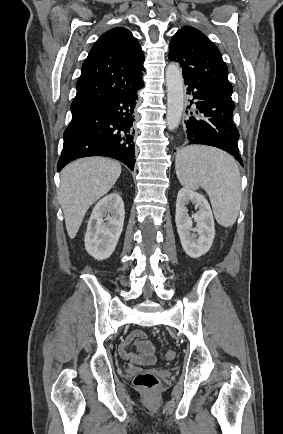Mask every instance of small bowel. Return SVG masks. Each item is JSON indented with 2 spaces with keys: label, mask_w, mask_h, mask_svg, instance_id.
Listing matches in <instances>:
<instances>
[{
  "label": "small bowel",
  "mask_w": 283,
  "mask_h": 434,
  "mask_svg": "<svg viewBox=\"0 0 283 434\" xmlns=\"http://www.w3.org/2000/svg\"><path fill=\"white\" fill-rule=\"evenodd\" d=\"M131 346H135L138 353H132ZM119 353L123 359L139 365H150L155 361L154 345L142 330L132 331L120 344Z\"/></svg>",
  "instance_id": "1"
}]
</instances>
